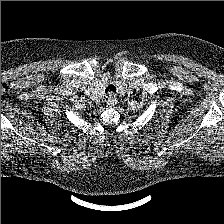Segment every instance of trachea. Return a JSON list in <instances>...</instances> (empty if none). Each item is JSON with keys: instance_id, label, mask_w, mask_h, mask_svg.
I'll return each mask as SVG.
<instances>
[{"instance_id": "trachea-1", "label": "trachea", "mask_w": 224, "mask_h": 224, "mask_svg": "<svg viewBox=\"0 0 224 224\" xmlns=\"http://www.w3.org/2000/svg\"><path fill=\"white\" fill-rule=\"evenodd\" d=\"M105 92H106V94H108V95H109V93H110V94H111V93H114V92H116V87H115L114 85L110 84V85H108V86L106 87Z\"/></svg>"}]
</instances>
